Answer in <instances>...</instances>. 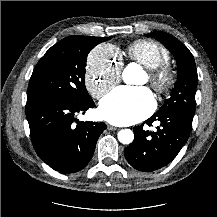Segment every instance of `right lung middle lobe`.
<instances>
[{"mask_svg": "<svg viewBox=\"0 0 217 217\" xmlns=\"http://www.w3.org/2000/svg\"><path fill=\"white\" fill-rule=\"evenodd\" d=\"M111 37L70 36L52 46L30 78L27 103L57 100L84 103L91 99L84 83L88 53Z\"/></svg>", "mask_w": 217, "mask_h": 217, "instance_id": "obj_1", "label": "right lung middle lobe"}]
</instances>
